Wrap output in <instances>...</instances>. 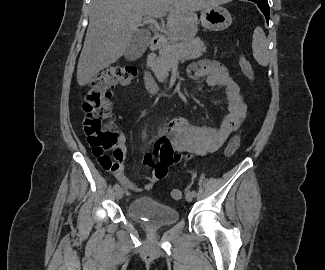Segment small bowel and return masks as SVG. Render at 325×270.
I'll return each mask as SVG.
<instances>
[{
	"label": "small bowel",
	"mask_w": 325,
	"mask_h": 270,
	"mask_svg": "<svg viewBox=\"0 0 325 270\" xmlns=\"http://www.w3.org/2000/svg\"><path fill=\"white\" fill-rule=\"evenodd\" d=\"M193 80L206 77L210 87H221L226 91L227 113L218 125L193 126L182 118L173 119L167 133L170 141L163 138L156 142L154 151L143 156V164L151 170L147 183L142 188L137 187L124 175V162L126 160V137L123 133L119 136L117 151H119V166L105 168L112 171L118 181L128 190L137 192L150 190L154 184L167 174L168 168L180 159L173 149L182 154L184 159L192 155H206L217 151L228 139L232 132L238 129L247 115V106L240 93L238 85L230 78L224 66L213 61H200L193 64L188 71ZM155 158L160 160L156 162Z\"/></svg>",
	"instance_id": "small-bowel-1"
}]
</instances>
